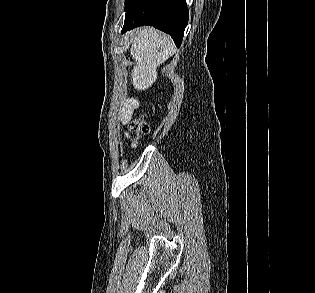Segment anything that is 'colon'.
I'll use <instances>...</instances> for the list:
<instances>
[{
    "instance_id": "5ec220e1",
    "label": "colon",
    "mask_w": 315,
    "mask_h": 293,
    "mask_svg": "<svg viewBox=\"0 0 315 293\" xmlns=\"http://www.w3.org/2000/svg\"><path fill=\"white\" fill-rule=\"evenodd\" d=\"M149 128L146 123L141 120H135L130 124V139L132 144L135 146L141 136L145 135L148 132Z\"/></svg>"
}]
</instances>
